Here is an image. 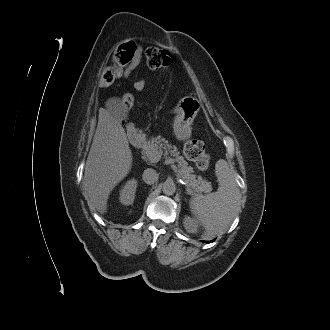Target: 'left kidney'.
Returning <instances> with one entry per match:
<instances>
[{"mask_svg": "<svg viewBox=\"0 0 330 330\" xmlns=\"http://www.w3.org/2000/svg\"><path fill=\"white\" fill-rule=\"evenodd\" d=\"M184 227L189 233H197L198 232V224L197 221L189 216H186L183 220Z\"/></svg>", "mask_w": 330, "mask_h": 330, "instance_id": "1", "label": "left kidney"}]
</instances>
